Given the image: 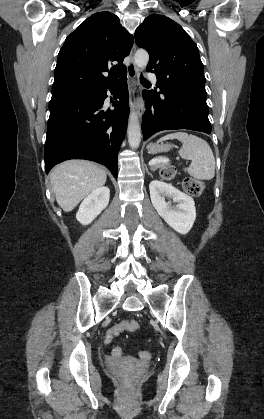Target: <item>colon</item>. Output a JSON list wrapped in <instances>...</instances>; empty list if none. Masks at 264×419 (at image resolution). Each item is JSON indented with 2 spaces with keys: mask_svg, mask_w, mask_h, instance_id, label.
I'll list each match as a JSON object with an SVG mask.
<instances>
[{
  "mask_svg": "<svg viewBox=\"0 0 264 419\" xmlns=\"http://www.w3.org/2000/svg\"><path fill=\"white\" fill-rule=\"evenodd\" d=\"M176 174V170L174 167L167 166L161 170V177L164 180L170 181L174 179ZM184 191L190 195H198L202 192L204 188V184L196 179L187 178L183 182ZM139 328V324L136 320H126L119 323V331H136ZM116 331H109L105 335V342L109 343L112 341L113 337L116 336ZM139 356L144 359L148 360L151 358V353L148 351H141Z\"/></svg>",
  "mask_w": 264,
  "mask_h": 419,
  "instance_id": "obj_1",
  "label": "colon"
}]
</instances>
